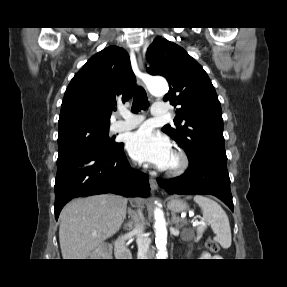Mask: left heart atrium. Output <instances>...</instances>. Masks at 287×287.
Wrapping results in <instances>:
<instances>
[{"mask_svg": "<svg viewBox=\"0 0 287 287\" xmlns=\"http://www.w3.org/2000/svg\"><path fill=\"white\" fill-rule=\"evenodd\" d=\"M127 150L134 160L159 168H166L172 156L169 140L148 126L129 135Z\"/></svg>", "mask_w": 287, "mask_h": 287, "instance_id": "obj_1", "label": "left heart atrium"}]
</instances>
